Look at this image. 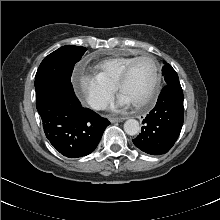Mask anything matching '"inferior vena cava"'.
Returning <instances> with one entry per match:
<instances>
[{
  "label": "inferior vena cava",
  "instance_id": "602c4592",
  "mask_svg": "<svg viewBox=\"0 0 220 220\" xmlns=\"http://www.w3.org/2000/svg\"><path fill=\"white\" fill-rule=\"evenodd\" d=\"M89 105L95 110H101L107 106V101L102 98H91Z\"/></svg>",
  "mask_w": 220,
  "mask_h": 220
}]
</instances>
